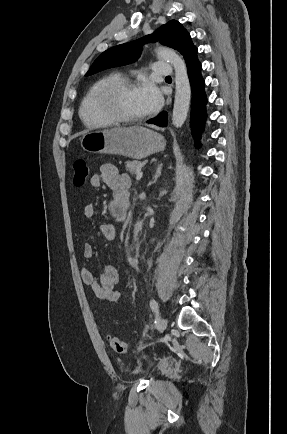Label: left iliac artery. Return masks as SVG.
I'll return each instance as SVG.
<instances>
[{"label":"left iliac artery","mask_w":287,"mask_h":434,"mask_svg":"<svg viewBox=\"0 0 287 434\" xmlns=\"http://www.w3.org/2000/svg\"><path fill=\"white\" fill-rule=\"evenodd\" d=\"M150 307L152 309V311L158 316L159 314V306L156 300L152 299L150 301Z\"/></svg>","instance_id":"1"}]
</instances>
